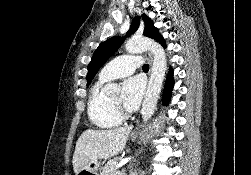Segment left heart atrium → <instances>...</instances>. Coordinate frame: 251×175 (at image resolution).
I'll return each instance as SVG.
<instances>
[{
	"label": "left heart atrium",
	"mask_w": 251,
	"mask_h": 175,
	"mask_svg": "<svg viewBox=\"0 0 251 175\" xmlns=\"http://www.w3.org/2000/svg\"><path fill=\"white\" fill-rule=\"evenodd\" d=\"M144 91L145 84L140 76L128 77L122 85L121 100L124 108L130 112L137 110Z\"/></svg>",
	"instance_id": "left-heart-atrium-1"
}]
</instances>
